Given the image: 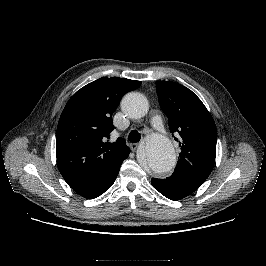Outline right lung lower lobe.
Masks as SVG:
<instances>
[{
    "instance_id": "obj_1",
    "label": "right lung lower lobe",
    "mask_w": 266,
    "mask_h": 266,
    "mask_svg": "<svg viewBox=\"0 0 266 266\" xmlns=\"http://www.w3.org/2000/svg\"><path fill=\"white\" fill-rule=\"evenodd\" d=\"M129 153L124 159L129 156ZM123 160L113 168L100 174L92 180L77 185H71V188L84 198H97L113 185L115 179L117 178Z\"/></svg>"
}]
</instances>
